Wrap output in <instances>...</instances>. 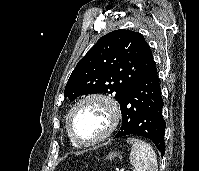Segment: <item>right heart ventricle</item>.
I'll list each match as a JSON object with an SVG mask.
<instances>
[{"label": "right heart ventricle", "instance_id": "1", "mask_svg": "<svg viewBox=\"0 0 199 171\" xmlns=\"http://www.w3.org/2000/svg\"><path fill=\"white\" fill-rule=\"evenodd\" d=\"M71 140V139H70ZM71 143L74 145V146H77L72 140H71Z\"/></svg>", "mask_w": 199, "mask_h": 171}]
</instances>
